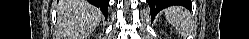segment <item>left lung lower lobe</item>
Returning a JSON list of instances; mask_svg holds the SVG:
<instances>
[{
    "label": "left lung lower lobe",
    "instance_id": "0a47b994",
    "mask_svg": "<svg viewBox=\"0 0 249 39\" xmlns=\"http://www.w3.org/2000/svg\"><path fill=\"white\" fill-rule=\"evenodd\" d=\"M147 2L151 9L152 18H154L159 11L173 4H181L187 8L191 7V2L188 0H147Z\"/></svg>",
    "mask_w": 249,
    "mask_h": 39
}]
</instances>
